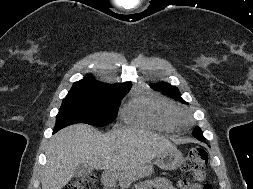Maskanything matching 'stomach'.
Segmentation results:
<instances>
[{
	"label": "stomach",
	"instance_id": "1",
	"mask_svg": "<svg viewBox=\"0 0 253 189\" xmlns=\"http://www.w3.org/2000/svg\"><path fill=\"white\" fill-rule=\"evenodd\" d=\"M182 161V153L177 148L168 149L156 156L155 164L163 170H174ZM121 174L118 172L107 173L103 179L105 184H113L119 178Z\"/></svg>",
	"mask_w": 253,
	"mask_h": 189
}]
</instances>
